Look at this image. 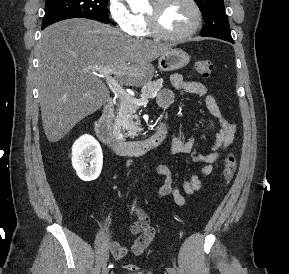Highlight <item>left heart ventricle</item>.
<instances>
[{
    "label": "left heart ventricle",
    "mask_w": 289,
    "mask_h": 274,
    "mask_svg": "<svg viewBox=\"0 0 289 274\" xmlns=\"http://www.w3.org/2000/svg\"><path fill=\"white\" fill-rule=\"evenodd\" d=\"M194 20V10L187 0H170L160 13L161 27L169 33L177 34L188 30Z\"/></svg>",
    "instance_id": "1"
}]
</instances>
